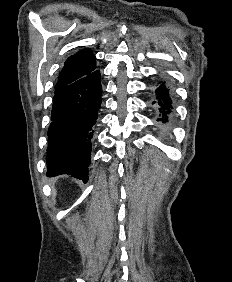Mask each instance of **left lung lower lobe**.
Masks as SVG:
<instances>
[{"label":"left lung lower lobe","instance_id":"1","mask_svg":"<svg viewBox=\"0 0 232 282\" xmlns=\"http://www.w3.org/2000/svg\"><path fill=\"white\" fill-rule=\"evenodd\" d=\"M154 94L155 101H153V104H156L161 116L158 121L166 123L168 121V114L171 112L173 107L169 96V90L165 82L161 81L155 86Z\"/></svg>","mask_w":232,"mask_h":282}]
</instances>
